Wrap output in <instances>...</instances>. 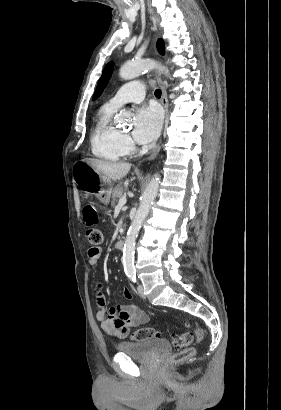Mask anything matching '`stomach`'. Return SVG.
Wrapping results in <instances>:
<instances>
[{"mask_svg": "<svg viewBox=\"0 0 281 410\" xmlns=\"http://www.w3.org/2000/svg\"><path fill=\"white\" fill-rule=\"evenodd\" d=\"M72 175L78 187L96 194L103 204L109 203L112 192L110 179L96 171L85 159L74 163Z\"/></svg>", "mask_w": 281, "mask_h": 410, "instance_id": "0dacf381", "label": "stomach"}]
</instances>
